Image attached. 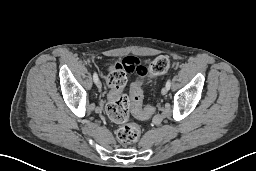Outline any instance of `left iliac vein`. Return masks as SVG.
I'll list each match as a JSON object with an SVG mask.
<instances>
[{
	"label": "left iliac vein",
	"instance_id": "1",
	"mask_svg": "<svg viewBox=\"0 0 256 171\" xmlns=\"http://www.w3.org/2000/svg\"><path fill=\"white\" fill-rule=\"evenodd\" d=\"M162 95H166L168 93V88L165 86L163 87V89L161 90Z\"/></svg>",
	"mask_w": 256,
	"mask_h": 171
}]
</instances>
